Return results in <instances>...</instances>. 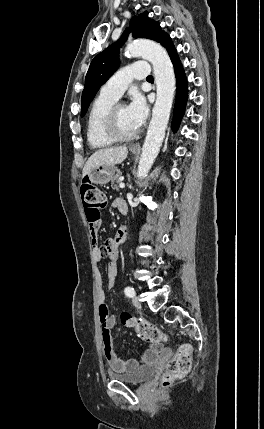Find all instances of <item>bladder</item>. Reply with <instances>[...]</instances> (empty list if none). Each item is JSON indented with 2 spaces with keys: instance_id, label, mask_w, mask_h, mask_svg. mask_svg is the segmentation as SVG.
<instances>
[{
  "instance_id": "bladder-1",
  "label": "bladder",
  "mask_w": 264,
  "mask_h": 429,
  "mask_svg": "<svg viewBox=\"0 0 264 429\" xmlns=\"http://www.w3.org/2000/svg\"><path fill=\"white\" fill-rule=\"evenodd\" d=\"M156 371L157 367L155 365H147L128 372L110 371L108 376L114 381L132 385H140L149 381L155 375Z\"/></svg>"
}]
</instances>
